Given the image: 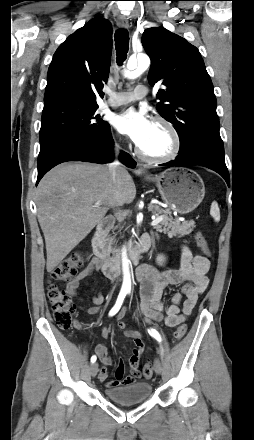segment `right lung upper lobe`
<instances>
[{
  "label": "right lung upper lobe",
  "mask_w": 254,
  "mask_h": 440,
  "mask_svg": "<svg viewBox=\"0 0 254 440\" xmlns=\"http://www.w3.org/2000/svg\"><path fill=\"white\" fill-rule=\"evenodd\" d=\"M111 24L95 17L58 47L47 74L44 104L61 98L96 103L109 76Z\"/></svg>",
  "instance_id": "cb5924a9"
}]
</instances>
